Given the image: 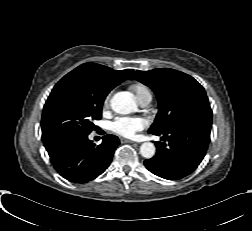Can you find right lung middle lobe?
<instances>
[{
	"instance_id": "right-lung-middle-lobe-1",
	"label": "right lung middle lobe",
	"mask_w": 252,
	"mask_h": 231,
	"mask_svg": "<svg viewBox=\"0 0 252 231\" xmlns=\"http://www.w3.org/2000/svg\"><path fill=\"white\" fill-rule=\"evenodd\" d=\"M110 89L81 76L63 77L48 97L41 120L44 146L88 135L101 119L102 105Z\"/></svg>"
}]
</instances>
